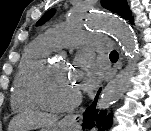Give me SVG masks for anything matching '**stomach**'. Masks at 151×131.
<instances>
[{"instance_id": "stomach-1", "label": "stomach", "mask_w": 151, "mask_h": 131, "mask_svg": "<svg viewBox=\"0 0 151 131\" xmlns=\"http://www.w3.org/2000/svg\"><path fill=\"white\" fill-rule=\"evenodd\" d=\"M75 129L76 127L74 124L69 123L66 120H62L52 126L43 129L42 131H75Z\"/></svg>"}]
</instances>
